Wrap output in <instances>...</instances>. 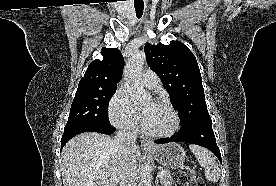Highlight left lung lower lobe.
Here are the masks:
<instances>
[{
    "label": "left lung lower lobe",
    "instance_id": "obj_1",
    "mask_svg": "<svg viewBox=\"0 0 276 186\" xmlns=\"http://www.w3.org/2000/svg\"><path fill=\"white\" fill-rule=\"evenodd\" d=\"M168 142H187L203 146L213 152L221 162L220 150L212 130V121L193 125L185 131H179L171 138H162L155 141L156 144Z\"/></svg>",
    "mask_w": 276,
    "mask_h": 186
}]
</instances>
